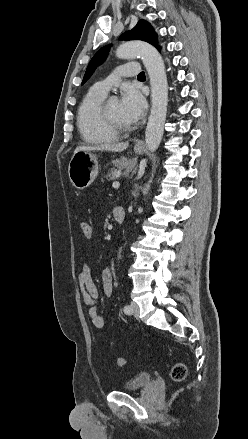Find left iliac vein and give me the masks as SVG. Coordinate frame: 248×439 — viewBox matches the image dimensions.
I'll return each mask as SVG.
<instances>
[{"instance_id": "left-iliac-vein-1", "label": "left iliac vein", "mask_w": 248, "mask_h": 439, "mask_svg": "<svg viewBox=\"0 0 248 439\" xmlns=\"http://www.w3.org/2000/svg\"><path fill=\"white\" fill-rule=\"evenodd\" d=\"M130 306L132 308L131 314L134 315L135 317H138V315H139V307H138V305L135 302H132Z\"/></svg>"}]
</instances>
